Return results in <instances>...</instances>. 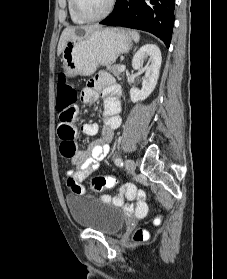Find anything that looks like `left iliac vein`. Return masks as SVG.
Returning <instances> with one entry per match:
<instances>
[{
  "label": "left iliac vein",
  "mask_w": 227,
  "mask_h": 279,
  "mask_svg": "<svg viewBox=\"0 0 227 279\" xmlns=\"http://www.w3.org/2000/svg\"><path fill=\"white\" fill-rule=\"evenodd\" d=\"M125 167H126L127 171L131 173L135 170L136 164L132 159L127 158L125 160Z\"/></svg>",
  "instance_id": "left-iliac-vein-1"
}]
</instances>
